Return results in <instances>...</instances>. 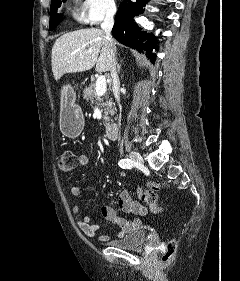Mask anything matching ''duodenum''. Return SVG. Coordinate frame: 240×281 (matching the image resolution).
Wrapping results in <instances>:
<instances>
[{"mask_svg": "<svg viewBox=\"0 0 240 281\" xmlns=\"http://www.w3.org/2000/svg\"><path fill=\"white\" fill-rule=\"evenodd\" d=\"M105 135L110 140H115L118 136V128L115 124H108L105 127Z\"/></svg>", "mask_w": 240, "mask_h": 281, "instance_id": "410a0bca", "label": "duodenum"}]
</instances>
